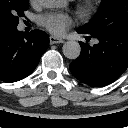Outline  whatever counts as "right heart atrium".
<instances>
[{"label":"right heart atrium","mask_w":128,"mask_h":128,"mask_svg":"<svg viewBox=\"0 0 128 128\" xmlns=\"http://www.w3.org/2000/svg\"><path fill=\"white\" fill-rule=\"evenodd\" d=\"M31 3H34V2H36V0H29Z\"/></svg>","instance_id":"d8ad5b80"}]
</instances>
